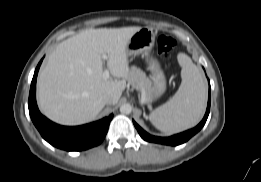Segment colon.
I'll use <instances>...</instances> for the list:
<instances>
[{"instance_id":"colon-1","label":"colon","mask_w":261,"mask_h":182,"mask_svg":"<svg viewBox=\"0 0 261 182\" xmlns=\"http://www.w3.org/2000/svg\"><path fill=\"white\" fill-rule=\"evenodd\" d=\"M175 45L176 42L172 37L164 34L160 35L157 39L158 54L162 58H167Z\"/></svg>"}]
</instances>
